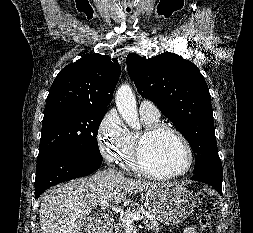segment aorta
Returning <instances> with one entry per match:
<instances>
[{
  "label": "aorta",
  "instance_id": "762f6f07",
  "mask_svg": "<svg viewBox=\"0 0 253 233\" xmlns=\"http://www.w3.org/2000/svg\"><path fill=\"white\" fill-rule=\"evenodd\" d=\"M116 107L123 120L133 129H140L136 98L132 88L125 84L118 88L115 97Z\"/></svg>",
  "mask_w": 253,
  "mask_h": 233
}]
</instances>
